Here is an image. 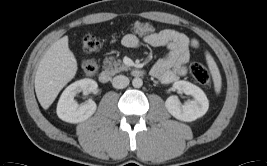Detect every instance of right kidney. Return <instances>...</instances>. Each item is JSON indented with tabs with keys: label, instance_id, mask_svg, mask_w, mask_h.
<instances>
[{
	"label": "right kidney",
	"instance_id": "1",
	"mask_svg": "<svg viewBox=\"0 0 267 166\" xmlns=\"http://www.w3.org/2000/svg\"><path fill=\"white\" fill-rule=\"evenodd\" d=\"M97 83L92 79H81L69 85L62 93L57 104L58 117L69 123L87 120L96 111V103L89 99L79 104L74 98L80 92L91 93L97 90Z\"/></svg>",
	"mask_w": 267,
	"mask_h": 166
}]
</instances>
